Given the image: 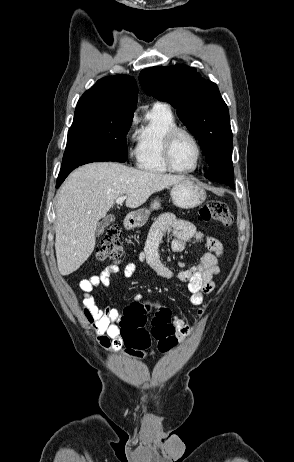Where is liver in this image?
Returning a JSON list of instances; mask_svg holds the SVG:
<instances>
[{"label": "liver", "instance_id": "1", "mask_svg": "<svg viewBox=\"0 0 294 462\" xmlns=\"http://www.w3.org/2000/svg\"><path fill=\"white\" fill-rule=\"evenodd\" d=\"M185 178L113 162L89 163L72 172L56 196L55 251L60 274L73 273L89 258L98 221L117 198L125 195L126 206L137 208L153 193Z\"/></svg>", "mask_w": 294, "mask_h": 462}]
</instances>
